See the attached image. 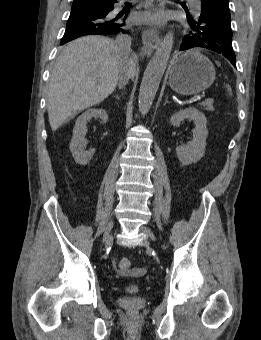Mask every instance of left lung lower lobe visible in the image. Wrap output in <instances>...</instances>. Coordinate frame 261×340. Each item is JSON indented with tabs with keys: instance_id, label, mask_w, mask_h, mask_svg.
<instances>
[{
	"instance_id": "left-lung-lower-lobe-1",
	"label": "left lung lower lobe",
	"mask_w": 261,
	"mask_h": 340,
	"mask_svg": "<svg viewBox=\"0 0 261 340\" xmlns=\"http://www.w3.org/2000/svg\"><path fill=\"white\" fill-rule=\"evenodd\" d=\"M216 17L221 19H230V10L228 0H201L200 16L196 22H209ZM188 22L192 25L194 21L188 18ZM193 47H200V42L195 35L185 36L181 44L180 50H186ZM232 64L236 66L235 53L233 49H228L223 54Z\"/></svg>"
}]
</instances>
